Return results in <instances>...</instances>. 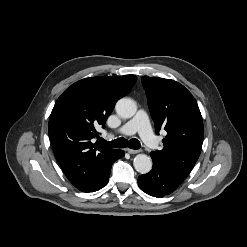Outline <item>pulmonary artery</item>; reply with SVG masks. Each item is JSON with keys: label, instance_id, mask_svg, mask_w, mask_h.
<instances>
[{"label": "pulmonary artery", "instance_id": "1", "mask_svg": "<svg viewBox=\"0 0 247 247\" xmlns=\"http://www.w3.org/2000/svg\"><path fill=\"white\" fill-rule=\"evenodd\" d=\"M117 132L125 135H131L137 132L149 148L157 149L159 147V141L152 132L148 116L144 110H139L136 115L121 126Z\"/></svg>", "mask_w": 247, "mask_h": 247}]
</instances>
